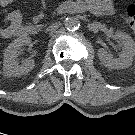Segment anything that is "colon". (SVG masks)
Instances as JSON below:
<instances>
[{
    "label": "colon",
    "instance_id": "1",
    "mask_svg": "<svg viewBox=\"0 0 135 135\" xmlns=\"http://www.w3.org/2000/svg\"><path fill=\"white\" fill-rule=\"evenodd\" d=\"M125 19L128 26L135 34V4H130L125 13Z\"/></svg>",
    "mask_w": 135,
    "mask_h": 135
}]
</instances>
